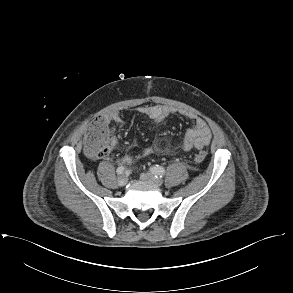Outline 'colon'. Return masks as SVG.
Returning a JSON list of instances; mask_svg holds the SVG:
<instances>
[{
  "label": "colon",
  "instance_id": "colon-1",
  "mask_svg": "<svg viewBox=\"0 0 293 293\" xmlns=\"http://www.w3.org/2000/svg\"><path fill=\"white\" fill-rule=\"evenodd\" d=\"M115 144V138L110 125L101 117L92 120L85 134V151L92 158L105 156ZM206 159L204 151L195 154V160L202 162Z\"/></svg>",
  "mask_w": 293,
  "mask_h": 293
}]
</instances>
